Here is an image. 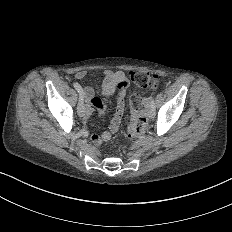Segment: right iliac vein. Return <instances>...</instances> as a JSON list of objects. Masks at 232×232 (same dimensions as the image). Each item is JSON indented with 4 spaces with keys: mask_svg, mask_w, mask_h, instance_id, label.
<instances>
[{
    "mask_svg": "<svg viewBox=\"0 0 232 232\" xmlns=\"http://www.w3.org/2000/svg\"><path fill=\"white\" fill-rule=\"evenodd\" d=\"M83 107H84V100L80 99L76 104V112L78 113L79 118L85 117V112L83 111Z\"/></svg>",
    "mask_w": 232,
    "mask_h": 232,
    "instance_id": "1",
    "label": "right iliac vein"
}]
</instances>
